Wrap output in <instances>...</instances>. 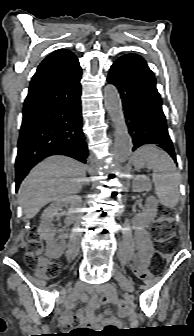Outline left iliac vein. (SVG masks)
Wrapping results in <instances>:
<instances>
[{
    "mask_svg": "<svg viewBox=\"0 0 194 336\" xmlns=\"http://www.w3.org/2000/svg\"><path fill=\"white\" fill-rule=\"evenodd\" d=\"M115 279L128 291H134L133 283L119 270L115 269L114 271Z\"/></svg>",
    "mask_w": 194,
    "mask_h": 336,
    "instance_id": "1",
    "label": "left iliac vein"
}]
</instances>
